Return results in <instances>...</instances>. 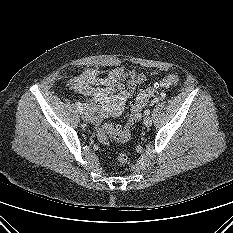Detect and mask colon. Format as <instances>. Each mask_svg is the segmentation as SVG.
Wrapping results in <instances>:
<instances>
[{"label": "colon", "mask_w": 233, "mask_h": 233, "mask_svg": "<svg viewBox=\"0 0 233 233\" xmlns=\"http://www.w3.org/2000/svg\"><path fill=\"white\" fill-rule=\"evenodd\" d=\"M178 81L179 77L176 74H169L139 93L131 105L128 120L124 127L107 123L98 127L97 137L100 143L108 146L111 139L119 142L129 141L132 137L133 127L140 120L143 109L148 104L160 100L163 97L162 90L177 85ZM116 159L122 166L128 162V157L124 153H119Z\"/></svg>", "instance_id": "5ec220e1"}]
</instances>
